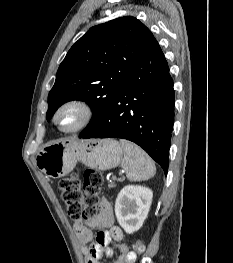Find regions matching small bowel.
<instances>
[{"instance_id":"c3829d8e","label":"small bowel","mask_w":233,"mask_h":263,"mask_svg":"<svg viewBox=\"0 0 233 263\" xmlns=\"http://www.w3.org/2000/svg\"><path fill=\"white\" fill-rule=\"evenodd\" d=\"M73 227L85 263H101L103 253L111 257L113 255V251L109 248L111 241L116 242L120 251V256L113 263H135L137 256L122 243L123 231L114 225L112 206L107 200H101L99 212L94 218L76 220ZM94 230L98 231L95 240H93Z\"/></svg>"}]
</instances>
